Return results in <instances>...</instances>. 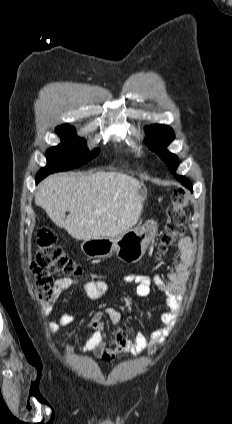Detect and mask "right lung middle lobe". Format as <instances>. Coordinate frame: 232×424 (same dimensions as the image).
Returning a JSON list of instances; mask_svg holds the SVG:
<instances>
[{"instance_id": "obj_1", "label": "right lung middle lobe", "mask_w": 232, "mask_h": 424, "mask_svg": "<svg viewBox=\"0 0 232 424\" xmlns=\"http://www.w3.org/2000/svg\"><path fill=\"white\" fill-rule=\"evenodd\" d=\"M56 133L61 137L62 143L48 149L47 166L38 172L37 178L43 179L53 172L79 167L99 153V149L88 151L85 140L76 136L72 126L61 125L56 128Z\"/></svg>"}]
</instances>
